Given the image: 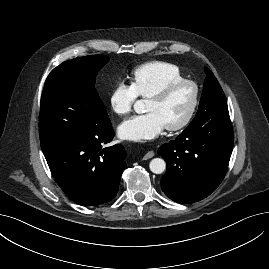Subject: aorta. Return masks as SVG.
<instances>
[{
  "mask_svg": "<svg viewBox=\"0 0 269 269\" xmlns=\"http://www.w3.org/2000/svg\"><path fill=\"white\" fill-rule=\"evenodd\" d=\"M134 110L136 113H142L144 110V103L142 100H138L134 104ZM149 168L151 172L155 174H161L166 169V163L162 158H154L150 161Z\"/></svg>",
  "mask_w": 269,
  "mask_h": 269,
  "instance_id": "obj_1",
  "label": "aorta"
}]
</instances>
